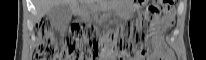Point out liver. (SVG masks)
I'll list each match as a JSON object with an SVG mask.
<instances>
[{"label":"liver","instance_id":"1","mask_svg":"<svg viewBox=\"0 0 206 60\" xmlns=\"http://www.w3.org/2000/svg\"><path fill=\"white\" fill-rule=\"evenodd\" d=\"M94 0H83L85 3L93 2ZM75 0H34L36 7L37 18L43 17L54 5L74 3Z\"/></svg>","mask_w":206,"mask_h":60}]
</instances>
